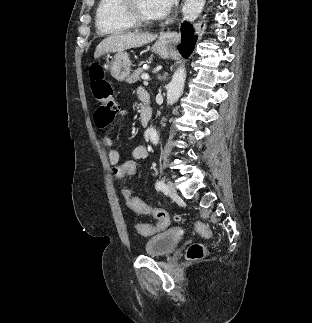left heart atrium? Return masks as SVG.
Returning a JSON list of instances; mask_svg holds the SVG:
<instances>
[{"instance_id": "39dd6f15", "label": "left heart atrium", "mask_w": 312, "mask_h": 323, "mask_svg": "<svg viewBox=\"0 0 312 323\" xmlns=\"http://www.w3.org/2000/svg\"><path fill=\"white\" fill-rule=\"evenodd\" d=\"M155 3L152 6L153 12H174L178 6V0H155Z\"/></svg>"}]
</instances>
